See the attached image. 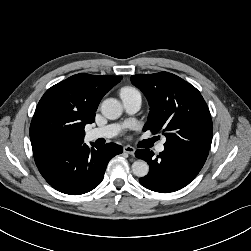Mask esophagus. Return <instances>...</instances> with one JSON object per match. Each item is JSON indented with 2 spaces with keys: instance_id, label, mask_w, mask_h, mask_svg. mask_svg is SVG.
Returning <instances> with one entry per match:
<instances>
[{
  "instance_id": "1",
  "label": "esophagus",
  "mask_w": 251,
  "mask_h": 251,
  "mask_svg": "<svg viewBox=\"0 0 251 251\" xmlns=\"http://www.w3.org/2000/svg\"><path fill=\"white\" fill-rule=\"evenodd\" d=\"M123 150H124L125 153L130 154L132 156H134V154H135V148L132 147V146L127 145V146L124 147Z\"/></svg>"
}]
</instances>
